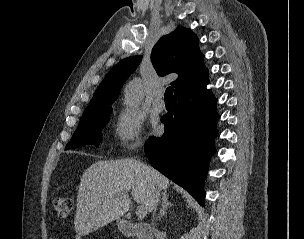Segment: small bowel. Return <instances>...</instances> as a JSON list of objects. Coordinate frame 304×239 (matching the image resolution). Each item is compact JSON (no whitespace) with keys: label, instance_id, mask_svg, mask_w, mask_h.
I'll return each instance as SVG.
<instances>
[{"label":"small bowel","instance_id":"obj_1","mask_svg":"<svg viewBox=\"0 0 304 239\" xmlns=\"http://www.w3.org/2000/svg\"><path fill=\"white\" fill-rule=\"evenodd\" d=\"M60 238V233L59 232H57L54 236H53V238L52 239H59Z\"/></svg>","mask_w":304,"mask_h":239}]
</instances>
